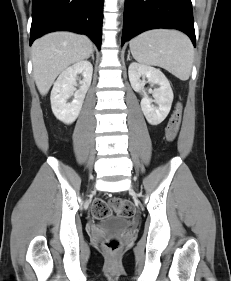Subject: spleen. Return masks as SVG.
Returning a JSON list of instances; mask_svg holds the SVG:
<instances>
[{"instance_id": "1", "label": "spleen", "mask_w": 231, "mask_h": 281, "mask_svg": "<svg viewBox=\"0 0 231 281\" xmlns=\"http://www.w3.org/2000/svg\"><path fill=\"white\" fill-rule=\"evenodd\" d=\"M130 50L142 64L161 67L178 79L188 80L192 71L194 48L180 31L155 29L133 38Z\"/></svg>"}]
</instances>
